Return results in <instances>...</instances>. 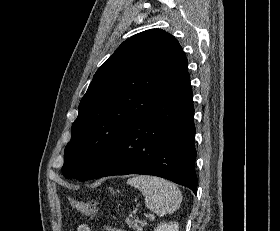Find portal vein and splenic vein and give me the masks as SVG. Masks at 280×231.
<instances>
[{
    "instance_id": "18ae733b",
    "label": "portal vein and splenic vein",
    "mask_w": 280,
    "mask_h": 231,
    "mask_svg": "<svg viewBox=\"0 0 280 231\" xmlns=\"http://www.w3.org/2000/svg\"><path fill=\"white\" fill-rule=\"evenodd\" d=\"M149 217H151V219H154L153 213H149Z\"/></svg>"
}]
</instances>
